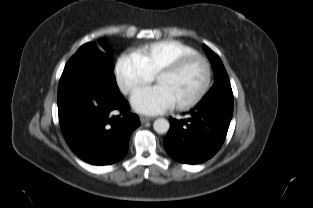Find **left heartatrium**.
<instances>
[{
  "mask_svg": "<svg viewBox=\"0 0 313 208\" xmlns=\"http://www.w3.org/2000/svg\"><path fill=\"white\" fill-rule=\"evenodd\" d=\"M131 104L134 110L146 115L161 114L175 105L171 95L161 85L138 89L131 97Z\"/></svg>",
  "mask_w": 313,
  "mask_h": 208,
  "instance_id": "1",
  "label": "left heart atrium"
}]
</instances>
